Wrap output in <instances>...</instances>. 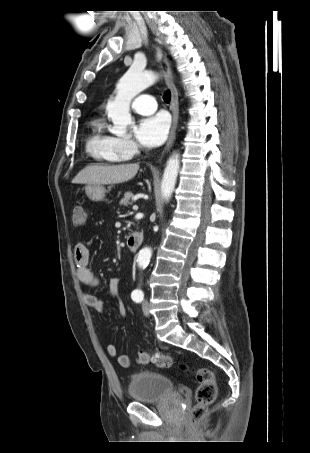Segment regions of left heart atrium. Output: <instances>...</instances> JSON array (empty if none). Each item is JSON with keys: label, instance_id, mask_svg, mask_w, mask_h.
Wrapping results in <instances>:
<instances>
[{"label": "left heart atrium", "instance_id": "1", "mask_svg": "<svg viewBox=\"0 0 310 453\" xmlns=\"http://www.w3.org/2000/svg\"><path fill=\"white\" fill-rule=\"evenodd\" d=\"M170 128V119L164 113L144 118L135 129L137 140L145 147H155L164 142Z\"/></svg>", "mask_w": 310, "mask_h": 453}]
</instances>
